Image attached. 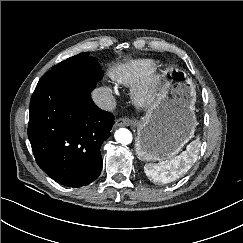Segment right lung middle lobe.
Segmentation results:
<instances>
[{
    "mask_svg": "<svg viewBox=\"0 0 243 243\" xmlns=\"http://www.w3.org/2000/svg\"><path fill=\"white\" fill-rule=\"evenodd\" d=\"M102 77L97 59L89 57V52H83L52 67L39 82L99 81Z\"/></svg>",
    "mask_w": 243,
    "mask_h": 243,
    "instance_id": "obj_1",
    "label": "right lung middle lobe"
}]
</instances>
